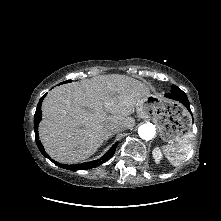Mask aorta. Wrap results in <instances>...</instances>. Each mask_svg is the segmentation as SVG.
Listing matches in <instances>:
<instances>
[{"mask_svg":"<svg viewBox=\"0 0 221 221\" xmlns=\"http://www.w3.org/2000/svg\"><path fill=\"white\" fill-rule=\"evenodd\" d=\"M138 134L143 140H151L155 136V126L151 123H145L138 128Z\"/></svg>","mask_w":221,"mask_h":221,"instance_id":"762f6f07","label":"aorta"}]
</instances>
